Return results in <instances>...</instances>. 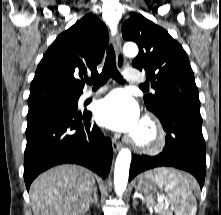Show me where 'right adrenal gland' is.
<instances>
[{
	"label": "right adrenal gland",
	"mask_w": 221,
	"mask_h": 215,
	"mask_svg": "<svg viewBox=\"0 0 221 215\" xmlns=\"http://www.w3.org/2000/svg\"><path fill=\"white\" fill-rule=\"evenodd\" d=\"M93 204L98 205V193H97V190L95 191L94 198H93V200L91 202V205H93Z\"/></svg>",
	"instance_id": "obj_1"
}]
</instances>
